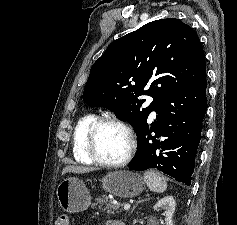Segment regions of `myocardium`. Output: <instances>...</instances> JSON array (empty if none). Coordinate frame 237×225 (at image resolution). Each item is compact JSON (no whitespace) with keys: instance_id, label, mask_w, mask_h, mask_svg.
Returning a JSON list of instances; mask_svg holds the SVG:
<instances>
[{"instance_id":"myocardium-1","label":"myocardium","mask_w":237,"mask_h":225,"mask_svg":"<svg viewBox=\"0 0 237 225\" xmlns=\"http://www.w3.org/2000/svg\"><path fill=\"white\" fill-rule=\"evenodd\" d=\"M105 125H114L120 127L127 135L129 143L128 150L124 158L119 161H108L99 155L97 149V134L101 127ZM136 144V135L133 129L127 123L113 117H102L94 121L90 126L86 136V150L89 156L96 163L111 168H120L127 165L135 153Z\"/></svg>"}]
</instances>
